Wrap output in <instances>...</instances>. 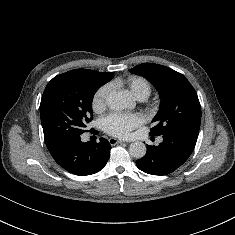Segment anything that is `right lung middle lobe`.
Segmentation results:
<instances>
[{
  "label": "right lung middle lobe",
  "mask_w": 235,
  "mask_h": 235,
  "mask_svg": "<svg viewBox=\"0 0 235 235\" xmlns=\"http://www.w3.org/2000/svg\"><path fill=\"white\" fill-rule=\"evenodd\" d=\"M108 80L85 71H69L55 76L46 86L40 117L47 147L71 134L86 132L92 120V100Z\"/></svg>",
  "instance_id": "dd1d6c3e"
}]
</instances>
